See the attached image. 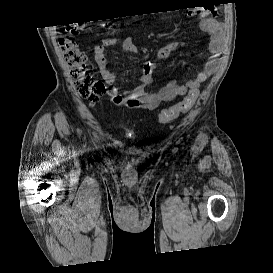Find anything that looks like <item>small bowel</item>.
Instances as JSON below:
<instances>
[{"instance_id":"1","label":"small bowel","mask_w":273,"mask_h":273,"mask_svg":"<svg viewBox=\"0 0 273 273\" xmlns=\"http://www.w3.org/2000/svg\"><path fill=\"white\" fill-rule=\"evenodd\" d=\"M198 16L200 17V27L210 35V56L203 69L198 72L194 78L187 80L183 84H178L176 81H170L154 92L147 91L146 87L152 83V73L155 69V62L148 61L143 65L138 85L126 90L124 93H120L117 87L119 76L109 70L108 58L104 51L105 46L114 45L117 43V40L114 38L105 39L101 45H98L93 49L99 72L109 86L107 96L114 105L133 109L155 110L162 102L172 101L176 97L184 96L192 91L197 92L199 85L215 73L220 65L223 54L224 27L219 21L211 16V12L209 11L200 12ZM184 45V42L172 41L165 46H162L156 50L155 60L168 58L172 52ZM123 50L126 53L134 54L138 52V47L133 42L132 38L128 37L123 41Z\"/></svg>"}]
</instances>
